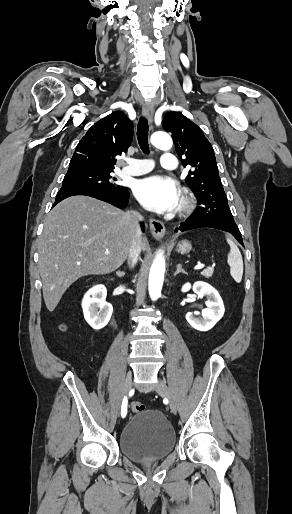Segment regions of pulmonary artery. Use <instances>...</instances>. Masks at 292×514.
Wrapping results in <instances>:
<instances>
[{
	"label": "pulmonary artery",
	"instance_id": "e3ab8cb5",
	"mask_svg": "<svg viewBox=\"0 0 292 514\" xmlns=\"http://www.w3.org/2000/svg\"><path fill=\"white\" fill-rule=\"evenodd\" d=\"M130 163L132 170H124L123 173L127 175H140L144 172H150L154 169V164L149 157L134 156L131 158ZM160 168L163 172H174L177 169V159L173 157L171 151H166L161 158Z\"/></svg>",
	"mask_w": 292,
	"mask_h": 514
}]
</instances>
